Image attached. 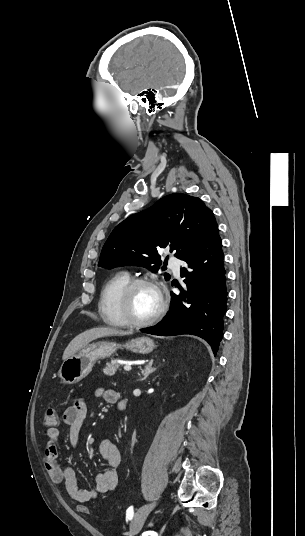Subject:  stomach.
<instances>
[{"label": "stomach", "instance_id": "0dacf381", "mask_svg": "<svg viewBox=\"0 0 305 536\" xmlns=\"http://www.w3.org/2000/svg\"><path fill=\"white\" fill-rule=\"evenodd\" d=\"M118 348L120 350L126 348V350H131L136 354H150L154 350L155 344L151 338H137V340H130L123 346L122 344H115V342H91V344H86L76 354L64 360L59 370V378L63 380L64 384L81 382L83 378L90 374L97 360L110 358Z\"/></svg>", "mask_w": 305, "mask_h": 536}]
</instances>
